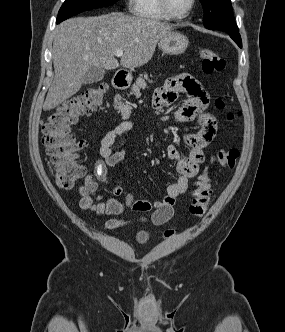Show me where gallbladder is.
<instances>
[{"label": "gallbladder", "instance_id": "gallbladder-1", "mask_svg": "<svg viewBox=\"0 0 285 332\" xmlns=\"http://www.w3.org/2000/svg\"><path fill=\"white\" fill-rule=\"evenodd\" d=\"M105 71L103 68L91 67L83 77V84H92L103 79Z\"/></svg>", "mask_w": 285, "mask_h": 332}]
</instances>
